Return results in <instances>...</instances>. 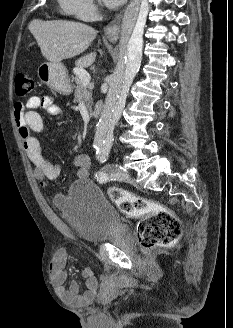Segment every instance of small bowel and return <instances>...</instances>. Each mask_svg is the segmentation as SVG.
I'll return each mask as SVG.
<instances>
[{
  "label": "small bowel",
  "mask_w": 233,
  "mask_h": 328,
  "mask_svg": "<svg viewBox=\"0 0 233 328\" xmlns=\"http://www.w3.org/2000/svg\"><path fill=\"white\" fill-rule=\"evenodd\" d=\"M39 109H43L52 117H59L61 109L50 96H33L26 104L16 102L13 108V115L19 135L26 154L34 165V176L42 184L46 181L56 179L60 173L59 165L51 162L42 152L41 145L35 136L44 129V124ZM73 163L76 166V176L85 179L89 174L90 158L86 154H77ZM67 252L63 249L57 250L50 261L49 270L52 282L56 288L58 296L67 303L83 305L91 302L97 291V279L89 265L81 267V275L84 278L85 291L80 292L76 282H71L68 288L65 287L67 272Z\"/></svg>",
  "instance_id": "small-bowel-1"
}]
</instances>
